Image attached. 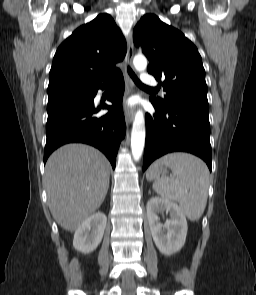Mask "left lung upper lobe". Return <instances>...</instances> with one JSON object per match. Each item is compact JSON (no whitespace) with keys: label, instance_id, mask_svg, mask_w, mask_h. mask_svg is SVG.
Listing matches in <instances>:
<instances>
[{"label":"left lung upper lobe","instance_id":"1","mask_svg":"<svg viewBox=\"0 0 256 295\" xmlns=\"http://www.w3.org/2000/svg\"><path fill=\"white\" fill-rule=\"evenodd\" d=\"M136 46L149 59L148 73L164 79V99L151 97L161 108L187 106L209 111L205 70L196 46L183 33L147 14L133 31Z\"/></svg>","mask_w":256,"mask_h":295}]
</instances>
